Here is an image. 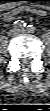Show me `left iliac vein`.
<instances>
[{
	"label": "left iliac vein",
	"instance_id": "4c4485c4",
	"mask_svg": "<svg viewBox=\"0 0 50 111\" xmlns=\"http://www.w3.org/2000/svg\"><path fill=\"white\" fill-rule=\"evenodd\" d=\"M26 30L25 29H19L17 32L18 33H24Z\"/></svg>",
	"mask_w": 50,
	"mask_h": 111
}]
</instances>
